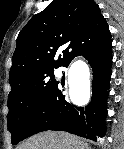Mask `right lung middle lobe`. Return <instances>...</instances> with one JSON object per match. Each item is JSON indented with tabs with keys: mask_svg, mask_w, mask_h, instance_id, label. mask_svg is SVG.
Instances as JSON below:
<instances>
[{
	"mask_svg": "<svg viewBox=\"0 0 124 149\" xmlns=\"http://www.w3.org/2000/svg\"><path fill=\"white\" fill-rule=\"evenodd\" d=\"M58 83L54 76V69H51L38 72L16 88H11L8 97L7 123L12 144L21 141L28 122Z\"/></svg>",
	"mask_w": 124,
	"mask_h": 149,
	"instance_id": "right-lung-middle-lobe-1",
	"label": "right lung middle lobe"
}]
</instances>
